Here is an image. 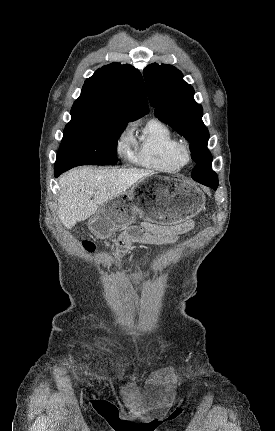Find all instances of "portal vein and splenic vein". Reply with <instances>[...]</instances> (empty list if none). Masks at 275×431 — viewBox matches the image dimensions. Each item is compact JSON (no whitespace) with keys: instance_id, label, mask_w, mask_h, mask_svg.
Returning a JSON list of instances; mask_svg holds the SVG:
<instances>
[{"instance_id":"obj_1","label":"portal vein and splenic vein","mask_w":275,"mask_h":431,"mask_svg":"<svg viewBox=\"0 0 275 431\" xmlns=\"http://www.w3.org/2000/svg\"><path fill=\"white\" fill-rule=\"evenodd\" d=\"M93 193H94L93 191H90V192H89V194H90V195H93Z\"/></svg>"}]
</instances>
